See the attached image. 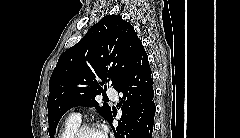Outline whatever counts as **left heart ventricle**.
Returning <instances> with one entry per match:
<instances>
[{"label":"left heart ventricle","mask_w":240,"mask_h":138,"mask_svg":"<svg viewBox=\"0 0 240 138\" xmlns=\"http://www.w3.org/2000/svg\"><path fill=\"white\" fill-rule=\"evenodd\" d=\"M80 138H102V134L97 130H88L84 132Z\"/></svg>","instance_id":"b2bd125f"}]
</instances>
